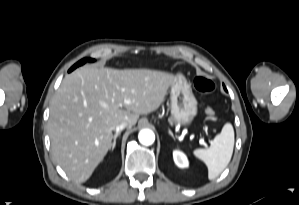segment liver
<instances>
[{
	"mask_svg": "<svg viewBox=\"0 0 299 205\" xmlns=\"http://www.w3.org/2000/svg\"><path fill=\"white\" fill-rule=\"evenodd\" d=\"M176 80L149 69L83 66L67 75L50 103L48 132L58 165L76 183L87 181L111 148L122 122L134 126L155 111Z\"/></svg>",
	"mask_w": 299,
	"mask_h": 205,
	"instance_id": "1",
	"label": "liver"
}]
</instances>
